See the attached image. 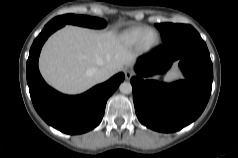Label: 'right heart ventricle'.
Here are the masks:
<instances>
[{"label":"right heart ventricle","mask_w":238,"mask_h":158,"mask_svg":"<svg viewBox=\"0 0 238 158\" xmlns=\"http://www.w3.org/2000/svg\"><path fill=\"white\" fill-rule=\"evenodd\" d=\"M147 27L139 26V27H132L126 30L123 35V41L131 46L137 45L142 34L147 30Z\"/></svg>","instance_id":"obj_1"}]
</instances>
